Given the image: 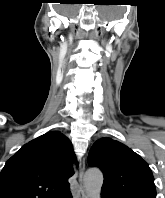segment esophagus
<instances>
[{
  "mask_svg": "<svg viewBox=\"0 0 165 198\" xmlns=\"http://www.w3.org/2000/svg\"><path fill=\"white\" fill-rule=\"evenodd\" d=\"M84 169H85V162L84 160L82 161L80 168H79V173H78V184L75 188V191L73 193L74 198H86L84 189H83V175H84Z\"/></svg>",
  "mask_w": 165,
  "mask_h": 198,
  "instance_id": "1",
  "label": "esophagus"
}]
</instances>
